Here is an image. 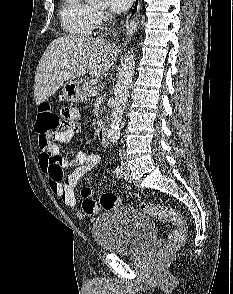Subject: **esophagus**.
Instances as JSON below:
<instances>
[{"label": "esophagus", "mask_w": 233, "mask_h": 294, "mask_svg": "<svg viewBox=\"0 0 233 294\" xmlns=\"http://www.w3.org/2000/svg\"><path fill=\"white\" fill-rule=\"evenodd\" d=\"M141 8V0H134L132 8L125 20V36L130 37L136 30L135 19Z\"/></svg>", "instance_id": "obj_1"}]
</instances>
